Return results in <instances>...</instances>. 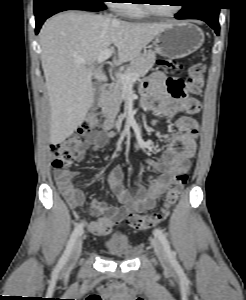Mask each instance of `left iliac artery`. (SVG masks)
I'll list each match as a JSON object with an SVG mask.
<instances>
[{
	"instance_id": "obj_1",
	"label": "left iliac artery",
	"mask_w": 246,
	"mask_h": 300,
	"mask_svg": "<svg viewBox=\"0 0 246 300\" xmlns=\"http://www.w3.org/2000/svg\"><path fill=\"white\" fill-rule=\"evenodd\" d=\"M154 234L159 238L160 242L162 243L170 261L172 264L177 265V261L175 259L174 253L170 248L169 241L166 238V235L163 233V231L159 228H156L154 230Z\"/></svg>"
}]
</instances>
